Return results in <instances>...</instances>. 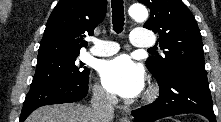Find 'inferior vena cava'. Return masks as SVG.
I'll list each match as a JSON object with an SVG mask.
<instances>
[{"instance_id":"obj_1","label":"inferior vena cava","mask_w":221,"mask_h":122,"mask_svg":"<svg viewBox=\"0 0 221 122\" xmlns=\"http://www.w3.org/2000/svg\"><path fill=\"white\" fill-rule=\"evenodd\" d=\"M115 101L116 97L113 94H109L102 88H94L91 100L93 122H111L114 118Z\"/></svg>"}]
</instances>
